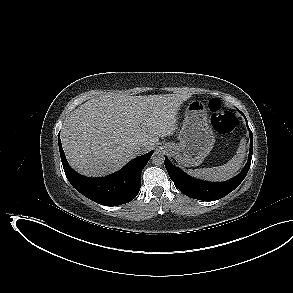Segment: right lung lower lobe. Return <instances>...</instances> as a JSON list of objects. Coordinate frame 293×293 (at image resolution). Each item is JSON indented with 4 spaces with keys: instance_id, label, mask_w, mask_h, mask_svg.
<instances>
[{
    "instance_id": "1",
    "label": "right lung lower lobe",
    "mask_w": 293,
    "mask_h": 293,
    "mask_svg": "<svg viewBox=\"0 0 293 293\" xmlns=\"http://www.w3.org/2000/svg\"><path fill=\"white\" fill-rule=\"evenodd\" d=\"M59 150L64 172L71 185L90 200L105 206L122 205L133 200L141 188V172L152 151L130 161L118 172L101 178H89L76 173L68 164L59 138Z\"/></svg>"
}]
</instances>
